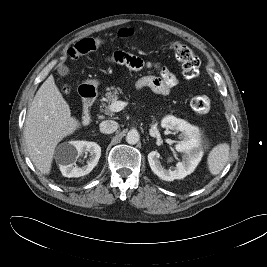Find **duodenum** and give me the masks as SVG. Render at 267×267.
Listing matches in <instances>:
<instances>
[{"mask_svg":"<svg viewBox=\"0 0 267 267\" xmlns=\"http://www.w3.org/2000/svg\"><path fill=\"white\" fill-rule=\"evenodd\" d=\"M80 95L83 99L82 124L88 126L91 123V109L98 95V90L94 85H83L80 88Z\"/></svg>","mask_w":267,"mask_h":267,"instance_id":"obj_1","label":"duodenum"}]
</instances>
